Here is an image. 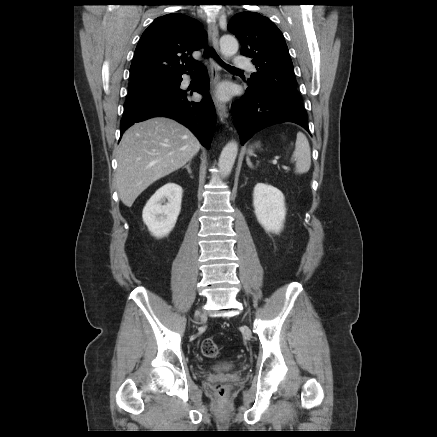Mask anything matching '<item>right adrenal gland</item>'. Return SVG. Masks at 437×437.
<instances>
[{"mask_svg":"<svg viewBox=\"0 0 437 437\" xmlns=\"http://www.w3.org/2000/svg\"><path fill=\"white\" fill-rule=\"evenodd\" d=\"M190 165H191V161L188 162V164L185 166V168L187 169V171H188L189 174H192V171H191Z\"/></svg>","mask_w":437,"mask_h":437,"instance_id":"obj_1","label":"right adrenal gland"}]
</instances>
